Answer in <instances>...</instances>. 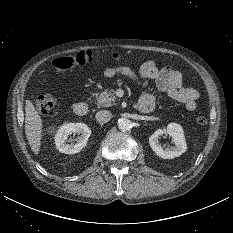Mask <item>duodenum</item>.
<instances>
[{
	"instance_id": "duodenum-1",
	"label": "duodenum",
	"mask_w": 233,
	"mask_h": 233,
	"mask_svg": "<svg viewBox=\"0 0 233 233\" xmlns=\"http://www.w3.org/2000/svg\"><path fill=\"white\" fill-rule=\"evenodd\" d=\"M152 109L150 104L138 103L137 110L143 113L150 112ZM73 112L77 116H84L88 112V105L85 101H78L73 105Z\"/></svg>"
}]
</instances>
